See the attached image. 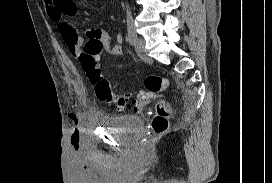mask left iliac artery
<instances>
[{
	"mask_svg": "<svg viewBox=\"0 0 272 183\" xmlns=\"http://www.w3.org/2000/svg\"><path fill=\"white\" fill-rule=\"evenodd\" d=\"M128 40L130 44H133L137 38V32L133 23L128 24Z\"/></svg>",
	"mask_w": 272,
	"mask_h": 183,
	"instance_id": "obj_1",
	"label": "left iliac artery"
}]
</instances>
